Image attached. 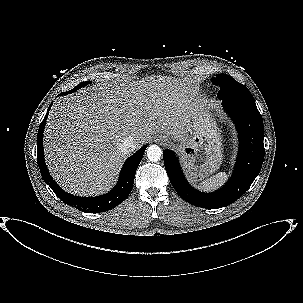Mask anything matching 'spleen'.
I'll use <instances>...</instances> for the list:
<instances>
[{"label":"spleen","instance_id":"3e777b00","mask_svg":"<svg viewBox=\"0 0 303 303\" xmlns=\"http://www.w3.org/2000/svg\"><path fill=\"white\" fill-rule=\"evenodd\" d=\"M226 179L227 174L225 172H219L216 175H213L212 177L200 183L199 187L205 190H210L221 185Z\"/></svg>","mask_w":303,"mask_h":303}]
</instances>
